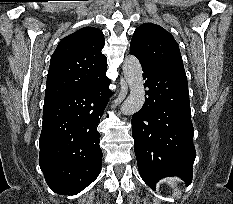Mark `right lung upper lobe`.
I'll return each mask as SVG.
<instances>
[{"mask_svg":"<svg viewBox=\"0 0 233 204\" xmlns=\"http://www.w3.org/2000/svg\"><path fill=\"white\" fill-rule=\"evenodd\" d=\"M105 39L101 30L84 27L66 36L52 55L45 101L81 89L107 69L101 53Z\"/></svg>","mask_w":233,"mask_h":204,"instance_id":"cb5924a9","label":"right lung upper lobe"}]
</instances>
